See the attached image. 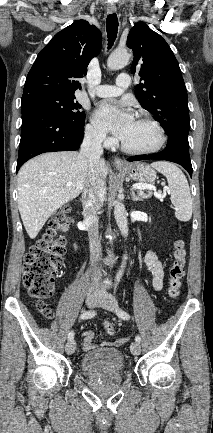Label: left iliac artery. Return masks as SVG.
<instances>
[{"label": "left iliac artery", "instance_id": "44dca946", "mask_svg": "<svg viewBox=\"0 0 213 433\" xmlns=\"http://www.w3.org/2000/svg\"><path fill=\"white\" fill-rule=\"evenodd\" d=\"M116 313H117V315L120 318H122L124 320H128L130 318V315L127 312H125V311H123L121 309H116ZM135 341L138 342V343H140L141 342V337L139 335H137L135 337Z\"/></svg>", "mask_w": 213, "mask_h": 433}]
</instances>
